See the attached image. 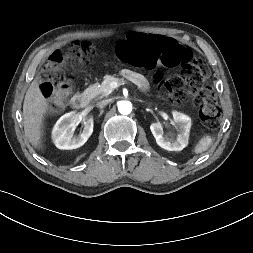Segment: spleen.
<instances>
[{
	"instance_id": "1",
	"label": "spleen",
	"mask_w": 253,
	"mask_h": 253,
	"mask_svg": "<svg viewBox=\"0 0 253 253\" xmlns=\"http://www.w3.org/2000/svg\"><path fill=\"white\" fill-rule=\"evenodd\" d=\"M212 143H213V139L210 136H208V135L203 136L198 141V143L196 144L193 152L195 154L203 153V152L207 151L210 148V146L212 145Z\"/></svg>"
}]
</instances>
